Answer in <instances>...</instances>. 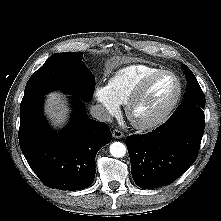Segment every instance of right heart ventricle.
<instances>
[{
	"label": "right heart ventricle",
	"instance_id": "1",
	"mask_svg": "<svg viewBox=\"0 0 221 221\" xmlns=\"http://www.w3.org/2000/svg\"><path fill=\"white\" fill-rule=\"evenodd\" d=\"M160 70L158 67L146 64L128 65L113 74L107 87L119 105H126L140 82Z\"/></svg>",
	"mask_w": 221,
	"mask_h": 221
}]
</instances>
